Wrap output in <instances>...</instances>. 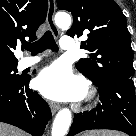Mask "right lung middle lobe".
Segmentation results:
<instances>
[{"label":"right lung middle lobe","instance_id":"1","mask_svg":"<svg viewBox=\"0 0 136 136\" xmlns=\"http://www.w3.org/2000/svg\"><path fill=\"white\" fill-rule=\"evenodd\" d=\"M17 63L0 64V85H10L18 81L21 76L16 74Z\"/></svg>","mask_w":136,"mask_h":136}]
</instances>
